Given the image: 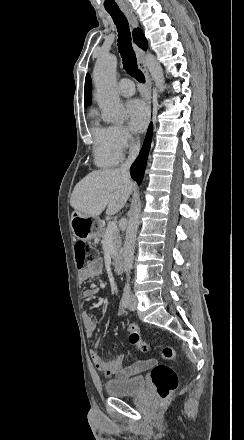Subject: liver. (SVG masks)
Returning a JSON list of instances; mask_svg holds the SVG:
<instances>
[{
    "label": "liver",
    "mask_w": 244,
    "mask_h": 440,
    "mask_svg": "<svg viewBox=\"0 0 244 440\" xmlns=\"http://www.w3.org/2000/svg\"><path fill=\"white\" fill-rule=\"evenodd\" d=\"M133 184L120 170H95L76 184L70 198V206L98 218L105 208L108 216H114L125 206Z\"/></svg>",
    "instance_id": "obj_1"
}]
</instances>
